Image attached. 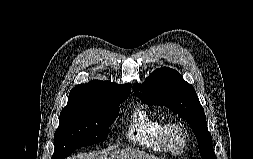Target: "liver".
<instances>
[{
	"mask_svg": "<svg viewBox=\"0 0 253 159\" xmlns=\"http://www.w3.org/2000/svg\"><path fill=\"white\" fill-rule=\"evenodd\" d=\"M67 159H158L139 150L127 148L123 150H105L98 153H84Z\"/></svg>",
	"mask_w": 253,
	"mask_h": 159,
	"instance_id": "obj_1",
	"label": "liver"
}]
</instances>
